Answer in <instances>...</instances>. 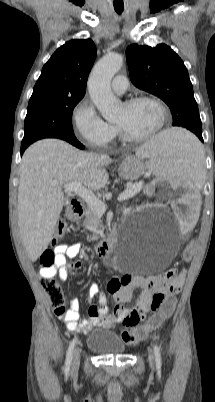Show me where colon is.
Returning <instances> with one entry per match:
<instances>
[{
    "mask_svg": "<svg viewBox=\"0 0 215 402\" xmlns=\"http://www.w3.org/2000/svg\"><path fill=\"white\" fill-rule=\"evenodd\" d=\"M67 232V226L65 222L59 221L54 235V242L62 238ZM190 245H186L183 251L180 253L181 260H192L194 250L197 249V240L191 239ZM55 253L52 250L45 251L40 257V263L43 268H50L55 264ZM166 279H171L176 275V271L171 269L161 274ZM42 285L44 290L49 296L52 309L57 316H63L66 313L65 295L60 285L52 277H43ZM160 307V311L157 315L151 318L149 323L144 326H139L134 329L124 330L121 334L122 340L127 344H136L146 338L148 333L160 326L164 319L168 318L174 308V298L169 295L167 297L155 294L152 300V310H156ZM138 317L134 316L133 320H137Z\"/></svg>",
    "mask_w": 215,
    "mask_h": 402,
    "instance_id": "obj_1",
    "label": "colon"
}]
</instances>
